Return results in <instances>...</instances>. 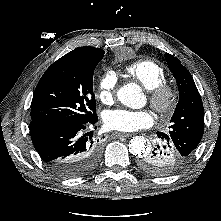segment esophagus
Instances as JSON below:
<instances>
[{
    "label": "esophagus",
    "mask_w": 221,
    "mask_h": 221,
    "mask_svg": "<svg viewBox=\"0 0 221 221\" xmlns=\"http://www.w3.org/2000/svg\"><path fill=\"white\" fill-rule=\"evenodd\" d=\"M114 137L120 138V137H129L131 134L129 133H121V132H115L112 134Z\"/></svg>",
    "instance_id": "34e87169"
}]
</instances>
